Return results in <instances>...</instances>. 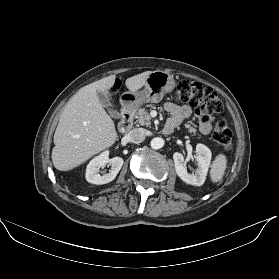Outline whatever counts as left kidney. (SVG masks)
I'll return each mask as SVG.
<instances>
[{
  "instance_id": "5707ae66",
  "label": "left kidney",
  "mask_w": 279,
  "mask_h": 279,
  "mask_svg": "<svg viewBox=\"0 0 279 279\" xmlns=\"http://www.w3.org/2000/svg\"><path fill=\"white\" fill-rule=\"evenodd\" d=\"M196 162L197 169L193 173H189L184 165V156L175 152L173 159L177 175L187 184L201 186L206 180V175L211 162V151L204 144L196 145Z\"/></svg>"
}]
</instances>
